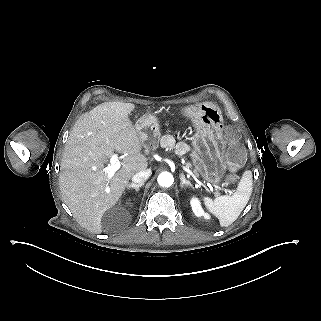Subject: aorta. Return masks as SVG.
<instances>
[{"mask_svg":"<svg viewBox=\"0 0 321 321\" xmlns=\"http://www.w3.org/2000/svg\"><path fill=\"white\" fill-rule=\"evenodd\" d=\"M157 181L162 187H170L174 182V178L171 173L162 172L159 174Z\"/></svg>","mask_w":321,"mask_h":321,"instance_id":"aorta-1","label":"aorta"}]
</instances>
